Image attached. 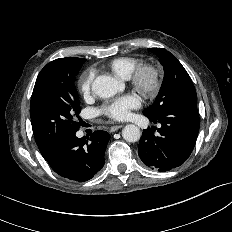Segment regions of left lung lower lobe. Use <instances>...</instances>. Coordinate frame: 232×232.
I'll use <instances>...</instances> for the list:
<instances>
[{"instance_id": "1", "label": "left lung lower lobe", "mask_w": 232, "mask_h": 232, "mask_svg": "<svg viewBox=\"0 0 232 232\" xmlns=\"http://www.w3.org/2000/svg\"><path fill=\"white\" fill-rule=\"evenodd\" d=\"M159 122V134L155 129L143 130L138 155L145 165L161 172L183 164L193 151L199 132L200 118L197 107L179 104L158 116H148Z\"/></svg>"}]
</instances>
